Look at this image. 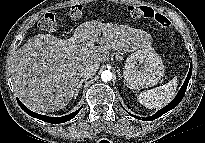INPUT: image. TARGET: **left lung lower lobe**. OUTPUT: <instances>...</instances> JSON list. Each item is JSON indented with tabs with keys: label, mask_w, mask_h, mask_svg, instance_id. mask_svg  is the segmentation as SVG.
Instances as JSON below:
<instances>
[{
	"label": "left lung lower lobe",
	"mask_w": 205,
	"mask_h": 143,
	"mask_svg": "<svg viewBox=\"0 0 205 143\" xmlns=\"http://www.w3.org/2000/svg\"><path fill=\"white\" fill-rule=\"evenodd\" d=\"M191 75H192V63H191V66H190L188 76H187L183 86L181 87L180 91L178 92L177 96L174 98V100L171 103H169L167 106H165L164 108L159 110L157 113H155L153 116L143 118L142 120H144V121L155 120V119L159 118L161 115H163L166 112L170 111L171 109L175 108L181 102L182 98L184 97V94H185V91L187 89V86H188L189 80L191 78ZM132 116L141 120V118H139L137 116H134V115H132Z\"/></svg>",
	"instance_id": "left-lung-lower-lobe-1"
}]
</instances>
